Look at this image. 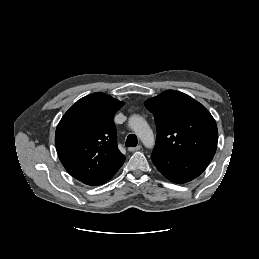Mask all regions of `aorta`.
<instances>
[{"label":"aorta","instance_id":"obj_1","mask_svg":"<svg viewBox=\"0 0 259 259\" xmlns=\"http://www.w3.org/2000/svg\"><path fill=\"white\" fill-rule=\"evenodd\" d=\"M128 124L145 147L152 148L154 146L155 140L153 132L143 117L140 115H132L129 118Z\"/></svg>","mask_w":259,"mask_h":259}]
</instances>
